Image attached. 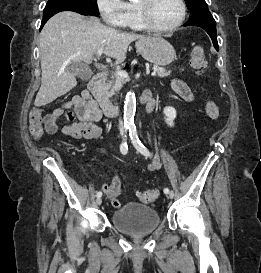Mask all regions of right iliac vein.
Here are the masks:
<instances>
[{"label": "right iliac vein", "instance_id": "right-iliac-vein-1", "mask_svg": "<svg viewBox=\"0 0 261 273\" xmlns=\"http://www.w3.org/2000/svg\"><path fill=\"white\" fill-rule=\"evenodd\" d=\"M96 203H97V205H101V203H102V198H101V197H98L97 200H96Z\"/></svg>", "mask_w": 261, "mask_h": 273}]
</instances>
